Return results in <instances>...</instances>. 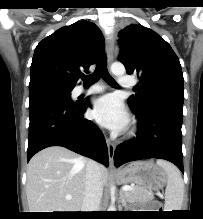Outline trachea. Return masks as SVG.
Here are the masks:
<instances>
[{
	"label": "trachea",
	"mask_w": 203,
	"mask_h": 219,
	"mask_svg": "<svg viewBox=\"0 0 203 219\" xmlns=\"http://www.w3.org/2000/svg\"><path fill=\"white\" fill-rule=\"evenodd\" d=\"M101 77L110 86L118 87V84L107 70V61L105 56H102L99 59L95 71L89 76H83L82 79L85 85H91L96 83Z\"/></svg>",
	"instance_id": "3493384b"
}]
</instances>
